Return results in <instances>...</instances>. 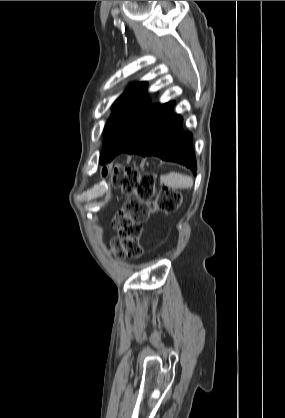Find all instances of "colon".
<instances>
[{
  "label": "colon",
  "instance_id": "1",
  "mask_svg": "<svg viewBox=\"0 0 285 418\" xmlns=\"http://www.w3.org/2000/svg\"><path fill=\"white\" fill-rule=\"evenodd\" d=\"M102 174L110 175L128 196L114 219L113 226L117 234L111 239L108 250L116 256L140 258L143 254L140 242L143 222L156 210L174 212L181 203L182 195L171 188H162L155 194L153 176L134 173L129 168L118 166L112 171L103 169Z\"/></svg>",
  "mask_w": 285,
  "mask_h": 418
}]
</instances>
